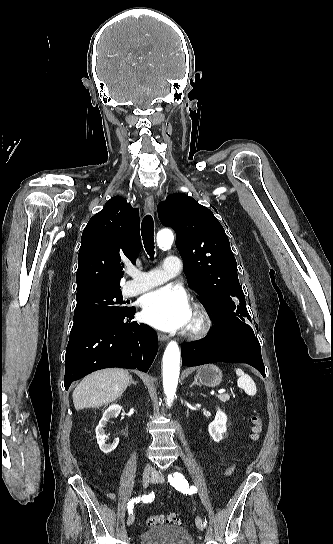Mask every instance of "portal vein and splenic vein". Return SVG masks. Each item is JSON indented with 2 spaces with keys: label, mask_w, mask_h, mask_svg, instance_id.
I'll return each instance as SVG.
<instances>
[{
  "label": "portal vein and splenic vein",
  "mask_w": 333,
  "mask_h": 544,
  "mask_svg": "<svg viewBox=\"0 0 333 544\" xmlns=\"http://www.w3.org/2000/svg\"><path fill=\"white\" fill-rule=\"evenodd\" d=\"M223 392H225V389H220V390L218 391L219 394H221V393H223Z\"/></svg>",
  "instance_id": "portal-vein-and-splenic-vein-1"
}]
</instances>
